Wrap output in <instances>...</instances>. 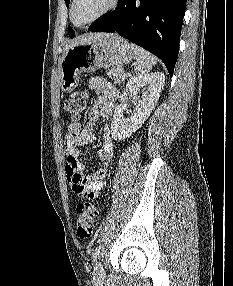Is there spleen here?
Instances as JSON below:
<instances>
[{"label": "spleen", "instance_id": "obj_1", "mask_svg": "<svg viewBox=\"0 0 233 286\" xmlns=\"http://www.w3.org/2000/svg\"><path fill=\"white\" fill-rule=\"evenodd\" d=\"M131 48L136 56L135 71L138 75H144L152 69V66L156 64V58L146 51L145 49L131 43Z\"/></svg>", "mask_w": 233, "mask_h": 286}]
</instances>
